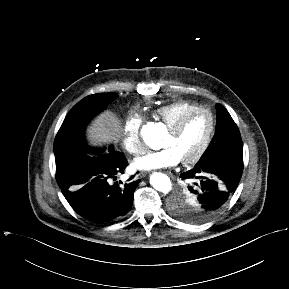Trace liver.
Returning <instances> with one entry per match:
<instances>
[{"label":"liver","mask_w":289,"mask_h":289,"mask_svg":"<svg viewBox=\"0 0 289 289\" xmlns=\"http://www.w3.org/2000/svg\"><path fill=\"white\" fill-rule=\"evenodd\" d=\"M87 139L92 145H101L116 140L122 131L120 120L111 112L100 114L88 128Z\"/></svg>","instance_id":"6515ba94"}]
</instances>
